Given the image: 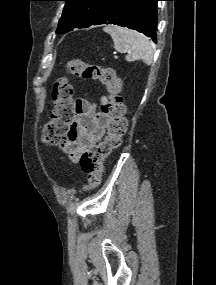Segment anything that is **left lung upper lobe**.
<instances>
[{
    "label": "left lung upper lobe",
    "instance_id": "obj_1",
    "mask_svg": "<svg viewBox=\"0 0 216 285\" xmlns=\"http://www.w3.org/2000/svg\"><path fill=\"white\" fill-rule=\"evenodd\" d=\"M65 1L56 33H67L74 28H87L112 0H62Z\"/></svg>",
    "mask_w": 216,
    "mask_h": 285
}]
</instances>
